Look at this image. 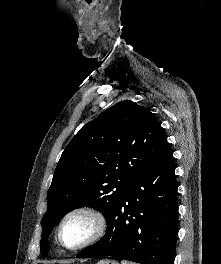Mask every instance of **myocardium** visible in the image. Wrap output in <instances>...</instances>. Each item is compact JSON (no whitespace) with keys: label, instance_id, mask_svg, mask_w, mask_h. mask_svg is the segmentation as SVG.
Wrapping results in <instances>:
<instances>
[{"label":"myocardium","instance_id":"f54148a6","mask_svg":"<svg viewBox=\"0 0 221 264\" xmlns=\"http://www.w3.org/2000/svg\"><path fill=\"white\" fill-rule=\"evenodd\" d=\"M77 215H84L90 218L94 223V231L92 235L83 243L76 246H67L62 239V230L65 223L72 217ZM108 228V220L105 214L98 208L93 206L81 205L69 210L61 219L58 229L57 238L60 245L70 251H77L84 249L97 241H99L105 234Z\"/></svg>","mask_w":221,"mask_h":264}]
</instances>
